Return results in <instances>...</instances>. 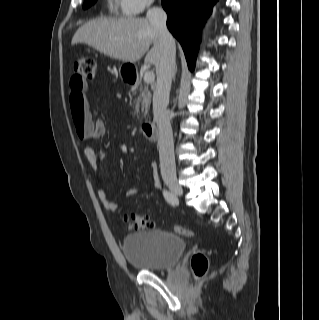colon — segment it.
Returning a JSON list of instances; mask_svg holds the SVG:
<instances>
[{
	"label": "colon",
	"mask_w": 319,
	"mask_h": 320,
	"mask_svg": "<svg viewBox=\"0 0 319 320\" xmlns=\"http://www.w3.org/2000/svg\"><path fill=\"white\" fill-rule=\"evenodd\" d=\"M73 72L74 77H77L80 81L92 80L96 73V62L90 57L79 58L73 64ZM72 117L80 141L86 142L94 138L93 128L83 114L74 113ZM124 224L128 230H142L153 226L148 216L135 213L126 214ZM173 231L187 237L194 235L192 230L182 226H174ZM208 267V259L203 253H196L192 256L191 268L196 278L203 277L207 273Z\"/></svg>",
	"instance_id": "5ec220e1"
}]
</instances>
